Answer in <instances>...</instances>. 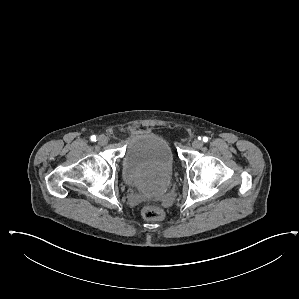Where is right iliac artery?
<instances>
[{
    "instance_id": "obj_1",
    "label": "right iliac artery",
    "mask_w": 299,
    "mask_h": 299,
    "mask_svg": "<svg viewBox=\"0 0 299 299\" xmlns=\"http://www.w3.org/2000/svg\"><path fill=\"white\" fill-rule=\"evenodd\" d=\"M90 139H91V141H96V136L92 135Z\"/></svg>"
}]
</instances>
